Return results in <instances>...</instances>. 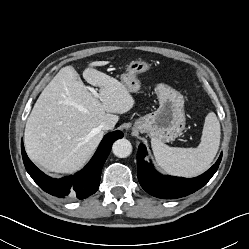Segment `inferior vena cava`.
Segmentation results:
<instances>
[{
  "instance_id": "1",
  "label": "inferior vena cava",
  "mask_w": 249,
  "mask_h": 249,
  "mask_svg": "<svg viewBox=\"0 0 249 249\" xmlns=\"http://www.w3.org/2000/svg\"><path fill=\"white\" fill-rule=\"evenodd\" d=\"M99 127L101 130H111L113 128V126L108 122H102Z\"/></svg>"
}]
</instances>
